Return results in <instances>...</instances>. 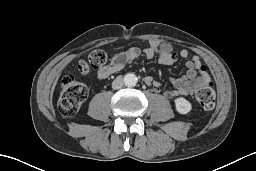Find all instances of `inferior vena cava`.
<instances>
[{
	"instance_id": "602c4592",
	"label": "inferior vena cava",
	"mask_w": 256,
	"mask_h": 171,
	"mask_svg": "<svg viewBox=\"0 0 256 171\" xmlns=\"http://www.w3.org/2000/svg\"><path fill=\"white\" fill-rule=\"evenodd\" d=\"M124 85V80L119 76L112 82V88L118 90Z\"/></svg>"
}]
</instances>
